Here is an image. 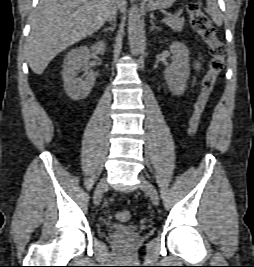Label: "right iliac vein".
<instances>
[{
	"label": "right iliac vein",
	"mask_w": 254,
	"mask_h": 267,
	"mask_svg": "<svg viewBox=\"0 0 254 267\" xmlns=\"http://www.w3.org/2000/svg\"><path fill=\"white\" fill-rule=\"evenodd\" d=\"M107 189V181L106 179H101L95 189L94 192V204L99 205L102 199V195Z\"/></svg>",
	"instance_id": "obj_1"
}]
</instances>
